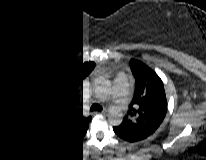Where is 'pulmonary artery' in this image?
<instances>
[{
    "instance_id": "obj_1",
    "label": "pulmonary artery",
    "mask_w": 206,
    "mask_h": 160,
    "mask_svg": "<svg viewBox=\"0 0 206 160\" xmlns=\"http://www.w3.org/2000/svg\"><path fill=\"white\" fill-rule=\"evenodd\" d=\"M128 94V81L123 75H119L114 81L112 88V97L118 105L123 106L127 102Z\"/></svg>"
}]
</instances>
